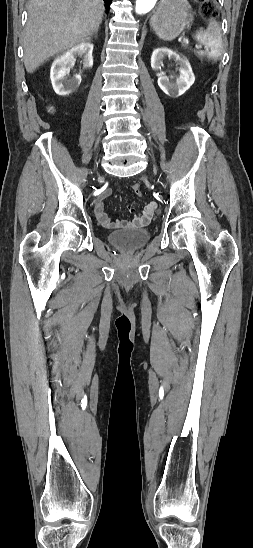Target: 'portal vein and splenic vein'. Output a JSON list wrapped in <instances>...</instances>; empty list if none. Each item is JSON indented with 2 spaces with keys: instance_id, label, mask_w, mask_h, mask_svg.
<instances>
[{
  "instance_id": "1",
  "label": "portal vein and splenic vein",
  "mask_w": 253,
  "mask_h": 548,
  "mask_svg": "<svg viewBox=\"0 0 253 548\" xmlns=\"http://www.w3.org/2000/svg\"><path fill=\"white\" fill-rule=\"evenodd\" d=\"M184 41H185V42H188V39H187V38H184ZM196 48H197V49H200V48H202V46L199 45V44H197V45H196Z\"/></svg>"
}]
</instances>
